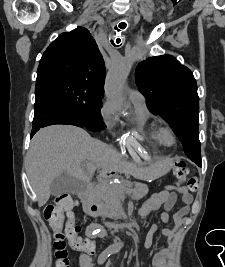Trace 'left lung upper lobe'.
Listing matches in <instances>:
<instances>
[{"label": "left lung upper lobe", "mask_w": 225, "mask_h": 267, "mask_svg": "<svg viewBox=\"0 0 225 267\" xmlns=\"http://www.w3.org/2000/svg\"><path fill=\"white\" fill-rule=\"evenodd\" d=\"M136 83L149 110L170 124L186 155L201 166L199 97L193 73L175 57L162 55L138 64Z\"/></svg>", "instance_id": "left-lung-upper-lobe-1"}]
</instances>
